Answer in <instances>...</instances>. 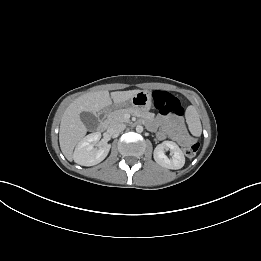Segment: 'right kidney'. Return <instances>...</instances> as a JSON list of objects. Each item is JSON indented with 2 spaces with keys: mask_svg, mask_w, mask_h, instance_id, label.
<instances>
[{
  "mask_svg": "<svg viewBox=\"0 0 261 261\" xmlns=\"http://www.w3.org/2000/svg\"><path fill=\"white\" fill-rule=\"evenodd\" d=\"M101 138L100 133H92L84 137L76 146L73 159L82 166H94L103 161L109 153L110 144H103L94 148V144Z\"/></svg>",
  "mask_w": 261,
  "mask_h": 261,
  "instance_id": "1",
  "label": "right kidney"
}]
</instances>
